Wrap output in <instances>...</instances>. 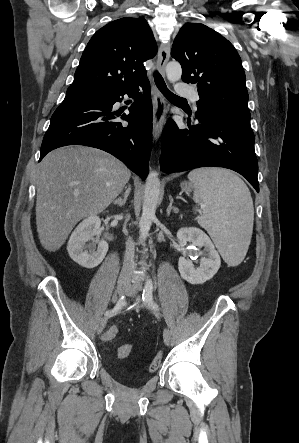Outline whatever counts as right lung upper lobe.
Instances as JSON below:
<instances>
[{"mask_svg":"<svg viewBox=\"0 0 299 443\" xmlns=\"http://www.w3.org/2000/svg\"><path fill=\"white\" fill-rule=\"evenodd\" d=\"M157 45L142 17L121 18L99 29L88 42L70 87L112 91L146 80L143 62Z\"/></svg>","mask_w":299,"mask_h":443,"instance_id":"right-lung-upper-lobe-1","label":"right lung upper lobe"}]
</instances>
